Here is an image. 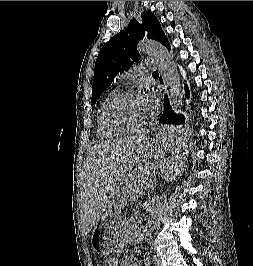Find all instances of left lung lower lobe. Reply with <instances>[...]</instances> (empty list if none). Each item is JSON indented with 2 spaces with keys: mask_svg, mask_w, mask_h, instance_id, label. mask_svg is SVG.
<instances>
[{
  "mask_svg": "<svg viewBox=\"0 0 253 266\" xmlns=\"http://www.w3.org/2000/svg\"><path fill=\"white\" fill-rule=\"evenodd\" d=\"M170 50V44L168 42V39L163 44ZM160 82L163 83L162 79L160 78ZM186 91L188 92L187 86H185ZM185 122V118L182 114L174 113L173 110L170 107L169 100L167 95L164 97V111L162 116L159 119V123L164 125H171L172 129H175L172 127V125H180ZM179 131V130H178Z\"/></svg>",
  "mask_w": 253,
  "mask_h": 266,
  "instance_id": "left-lung-lower-lobe-1",
  "label": "left lung lower lobe"
}]
</instances>
